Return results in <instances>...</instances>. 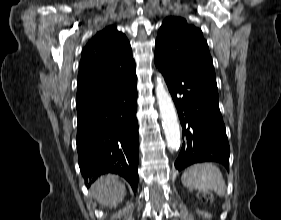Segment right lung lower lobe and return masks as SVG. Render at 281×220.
<instances>
[{"label":"right lung lower lobe","mask_w":281,"mask_h":220,"mask_svg":"<svg viewBox=\"0 0 281 220\" xmlns=\"http://www.w3.org/2000/svg\"><path fill=\"white\" fill-rule=\"evenodd\" d=\"M137 79L130 85L77 104V151L85 184L108 173L138 184Z\"/></svg>","instance_id":"1"}]
</instances>
